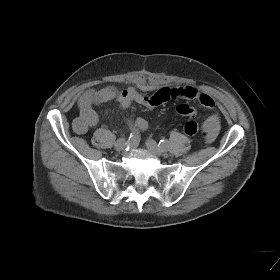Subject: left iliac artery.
<instances>
[{
  "label": "left iliac artery",
  "mask_w": 280,
  "mask_h": 280,
  "mask_svg": "<svg viewBox=\"0 0 280 280\" xmlns=\"http://www.w3.org/2000/svg\"><path fill=\"white\" fill-rule=\"evenodd\" d=\"M160 146L163 148H167L169 146V141L168 140H161L159 142Z\"/></svg>",
  "instance_id": "44dca946"
}]
</instances>
